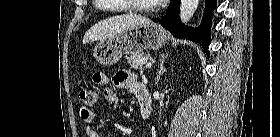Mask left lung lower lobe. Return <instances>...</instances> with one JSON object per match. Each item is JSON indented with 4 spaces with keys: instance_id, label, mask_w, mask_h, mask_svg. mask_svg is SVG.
<instances>
[{
    "instance_id": "0a47b994",
    "label": "left lung lower lobe",
    "mask_w": 280,
    "mask_h": 137,
    "mask_svg": "<svg viewBox=\"0 0 280 137\" xmlns=\"http://www.w3.org/2000/svg\"><path fill=\"white\" fill-rule=\"evenodd\" d=\"M180 2L181 0H171L167 14L161 19L154 18L153 21L160 22L164 28L168 29L177 38L190 39L199 43L209 56L208 46L211 42V19L213 9L216 6V0H206L202 22L198 28H191L181 23L179 17Z\"/></svg>"
}]
</instances>
